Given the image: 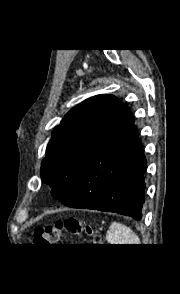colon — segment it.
<instances>
[{"mask_svg": "<svg viewBox=\"0 0 180 294\" xmlns=\"http://www.w3.org/2000/svg\"><path fill=\"white\" fill-rule=\"evenodd\" d=\"M64 230L74 235L84 234L89 237L95 235L90 224L77 218L69 217L63 221L55 223L54 225L39 228L34 234V240L41 245L54 246L58 244Z\"/></svg>", "mask_w": 180, "mask_h": 294, "instance_id": "obj_1", "label": "colon"}]
</instances>
